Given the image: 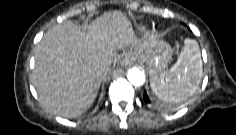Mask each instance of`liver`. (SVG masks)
I'll use <instances>...</instances> for the list:
<instances>
[{
  "label": "liver",
  "instance_id": "liver-1",
  "mask_svg": "<svg viewBox=\"0 0 236 135\" xmlns=\"http://www.w3.org/2000/svg\"><path fill=\"white\" fill-rule=\"evenodd\" d=\"M132 26L121 11L103 14L82 30L65 21L48 30L35 48L32 83L43 107L62 117H75L93 104L108 62L118 50H140Z\"/></svg>",
  "mask_w": 236,
  "mask_h": 135
}]
</instances>
